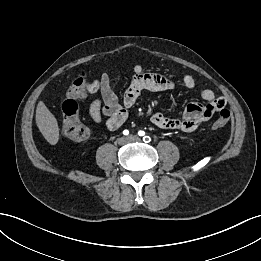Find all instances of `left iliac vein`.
I'll return each instance as SVG.
<instances>
[{"mask_svg": "<svg viewBox=\"0 0 261 261\" xmlns=\"http://www.w3.org/2000/svg\"><path fill=\"white\" fill-rule=\"evenodd\" d=\"M128 141H130V142H139L140 140H141V138L139 137V136H137V135H130V136H128Z\"/></svg>", "mask_w": 261, "mask_h": 261, "instance_id": "left-iliac-vein-1", "label": "left iliac vein"}]
</instances>
